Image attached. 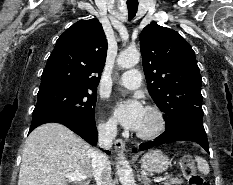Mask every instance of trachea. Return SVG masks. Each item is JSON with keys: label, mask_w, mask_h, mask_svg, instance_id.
<instances>
[{"label": "trachea", "mask_w": 233, "mask_h": 185, "mask_svg": "<svg viewBox=\"0 0 233 185\" xmlns=\"http://www.w3.org/2000/svg\"><path fill=\"white\" fill-rule=\"evenodd\" d=\"M128 8V17L129 19H133L137 13L138 3H127Z\"/></svg>", "instance_id": "3493384b"}]
</instances>
